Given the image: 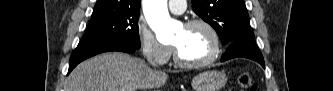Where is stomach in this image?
Listing matches in <instances>:
<instances>
[{"mask_svg": "<svg viewBox=\"0 0 333 91\" xmlns=\"http://www.w3.org/2000/svg\"><path fill=\"white\" fill-rule=\"evenodd\" d=\"M227 82L225 73L206 71L198 74L192 80L194 91H219Z\"/></svg>", "mask_w": 333, "mask_h": 91, "instance_id": "0dacf381", "label": "stomach"}]
</instances>
